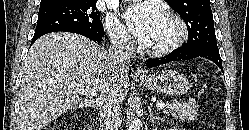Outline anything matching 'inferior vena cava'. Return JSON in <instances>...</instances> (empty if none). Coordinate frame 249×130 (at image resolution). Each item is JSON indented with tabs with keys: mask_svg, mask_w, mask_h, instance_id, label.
I'll return each instance as SVG.
<instances>
[{
	"mask_svg": "<svg viewBox=\"0 0 249 130\" xmlns=\"http://www.w3.org/2000/svg\"><path fill=\"white\" fill-rule=\"evenodd\" d=\"M109 53L111 60L116 66L125 67L130 63L133 44L125 35L113 33ZM120 101L108 96L100 103V120L103 130H118L121 124Z\"/></svg>",
	"mask_w": 249,
	"mask_h": 130,
	"instance_id": "1",
	"label": "inferior vena cava"
}]
</instances>
